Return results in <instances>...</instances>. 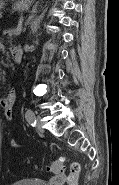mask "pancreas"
<instances>
[{
	"label": "pancreas",
	"instance_id": "cf45deb5",
	"mask_svg": "<svg viewBox=\"0 0 119 185\" xmlns=\"http://www.w3.org/2000/svg\"><path fill=\"white\" fill-rule=\"evenodd\" d=\"M22 26L17 28L16 30H8L5 31L4 34H9V35H19L22 32Z\"/></svg>",
	"mask_w": 119,
	"mask_h": 185
}]
</instances>
